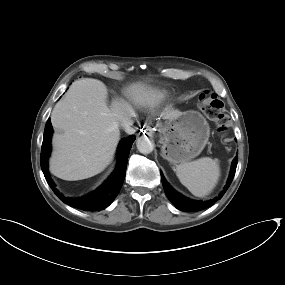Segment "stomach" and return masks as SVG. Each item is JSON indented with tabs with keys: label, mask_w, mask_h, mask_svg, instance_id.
<instances>
[{
	"label": "stomach",
	"mask_w": 285,
	"mask_h": 285,
	"mask_svg": "<svg viewBox=\"0 0 285 285\" xmlns=\"http://www.w3.org/2000/svg\"><path fill=\"white\" fill-rule=\"evenodd\" d=\"M161 155L172 164L188 162L198 156L208 142L210 128L196 111L181 112L160 127Z\"/></svg>",
	"instance_id": "1"
}]
</instances>
